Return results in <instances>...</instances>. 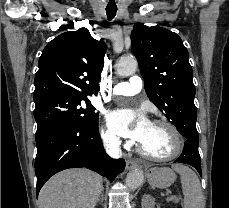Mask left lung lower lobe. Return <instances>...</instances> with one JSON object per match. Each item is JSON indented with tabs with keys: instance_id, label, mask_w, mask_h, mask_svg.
Returning <instances> with one entry per match:
<instances>
[{
	"instance_id": "0a47b994",
	"label": "left lung lower lobe",
	"mask_w": 229,
	"mask_h": 208,
	"mask_svg": "<svg viewBox=\"0 0 229 208\" xmlns=\"http://www.w3.org/2000/svg\"><path fill=\"white\" fill-rule=\"evenodd\" d=\"M186 138L184 149L180 157L175 161L193 166L198 173H201V159L198 151L199 137L195 129H188L183 133Z\"/></svg>"
}]
</instances>
